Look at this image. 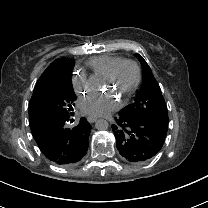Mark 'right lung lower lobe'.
<instances>
[{
	"instance_id": "obj_1",
	"label": "right lung lower lobe",
	"mask_w": 208,
	"mask_h": 208,
	"mask_svg": "<svg viewBox=\"0 0 208 208\" xmlns=\"http://www.w3.org/2000/svg\"><path fill=\"white\" fill-rule=\"evenodd\" d=\"M72 120V119H71ZM70 116H54L44 120H30V128L41 152L53 163L70 165L80 161L88 150L91 125L85 118L70 129Z\"/></svg>"
}]
</instances>
